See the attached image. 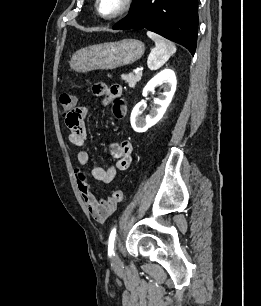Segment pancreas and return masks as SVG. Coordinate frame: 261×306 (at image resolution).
Segmentation results:
<instances>
[{
	"instance_id": "cf45deb5",
	"label": "pancreas",
	"mask_w": 261,
	"mask_h": 306,
	"mask_svg": "<svg viewBox=\"0 0 261 306\" xmlns=\"http://www.w3.org/2000/svg\"><path fill=\"white\" fill-rule=\"evenodd\" d=\"M141 77H142L141 71L135 74L129 73V74L121 75V78L125 80V82L128 83L130 87H135L137 82L141 80Z\"/></svg>"
}]
</instances>
